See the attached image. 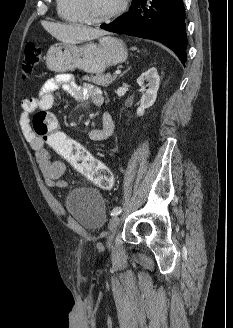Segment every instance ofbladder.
I'll return each instance as SVG.
<instances>
[{"mask_svg": "<svg viewBox=\"0 0 233 328\" xmlns=\"http://www.w3.org/2000/svg\"><path fill=\"white\" fill-rule=\"evenodd\" d=\"M65 207L85 229H98L105 223L103 198L91 188L79 187L71 190L65 197Z\"/></svg>", "mask_w": 233, "mask_h": 328, "instance_id": "1", "label": "bladder"}]
</instances>
